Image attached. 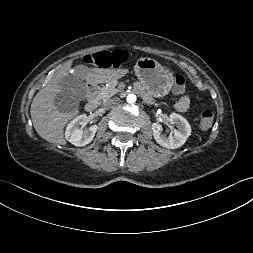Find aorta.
I'll use <instances>...</instances> for the list:
<instances>
[{"instance_id": "aorta-1", "label": "aorta", "mask_w": 253, "mask_h": 253, "mask_svg": "<svg viewBox=\"0 0 253 253\" xmlns=\"http://www.w3.org/2000/svg\"><path fill=\"white\" fill-rule=\"evenodd\" d=\"M127 102H128L129 104L135 103V102H136V96H135L134 94H129V95L127 96Z\"/></svg>"}]
</instances>
